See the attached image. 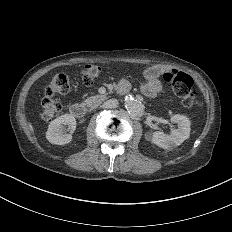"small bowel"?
<instances>
[{
    "label": "small bowel",
    "instance_id": "small-bowel-1",
    "mask_svg": "<svg viewBox=\"0 0 232 232\" xmlns=\"http://www.w3.org/2000/svg\"><path fill=\"white\" fill-rule=\"evenodd\" d=\"M160 89V84L155 78L154 71H151L148 75V81L144 85V92L148 96H154Z\"/></svg>",
    "mask_w": 232,
    "mask_h": 232
}]
</instances>
